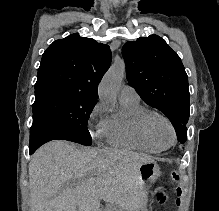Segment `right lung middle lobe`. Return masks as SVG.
<instances>
[{"instance_id":"1","label":"right lung middle lobe","mask_w":219,"mask_h":211,"mask_svg":"<svg viewBox=\"0 0 219 211\" xmlns=\"http://www.w3.org/2000/svg\"><path fill=\"white\" fill-rule=\"evenodd\" d=\"M96 103L97 99L61 90L35 94L31 129L48 126L71 131L81 136L82 145L90 146L87 123Z\"/></svg>"}]
</instances>
